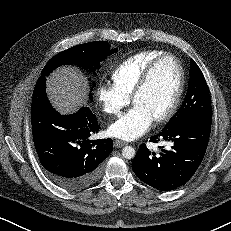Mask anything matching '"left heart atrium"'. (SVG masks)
<instances>
[{
  "mask_svg": "<svg viewBox=\"0 0 231 231\" xmlns=\"http://www.w3.org/2000/svg\"><path fill=\"white\" fill-rule=\"evenodd\" d=\"M154 120V117L146 109L134 105L109 126V133L122 140H134L147 132Z\"/></svg>",
  "mask_w": 231,
  "mask_h": 231,
  "instance_id": "1",
  "label": "left heart atrium"
}]
</instances>
